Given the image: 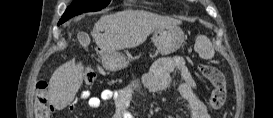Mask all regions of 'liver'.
Returning a JSON list of instances; mask_svg holds the SVG:
<instances>
[{
  "label": "liver",
  "instance_id": "6515ba94",
  "mask_svg": "<svg viewBox=\"0 0 273 118\" xmlns=\"http://www.w3.org/2000/svg\"><path fill=\"white\" fill-rule=\"evenodd\" d=\"M179 24V20L151 12L124 10L102 16L94 25L91 36L103 52L114 53L141 45L159 27ZM83 70L82 63L70 60L54 71L49 81L48 94L57 110H62L74 100L83 82Z\"/></svg>",
  "mask_w": 273,
  "mask_h": 118
}]
</instances>
